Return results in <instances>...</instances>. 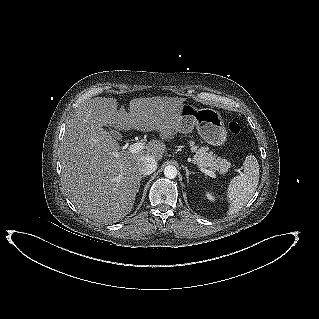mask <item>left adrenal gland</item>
Wrapping results in <instances>:
<instances>
[{"mask_svg": "<svg viewBox=\"0 0 319 319\" xmlns=\"http://www.w3.org/2000/svg\"><path fill=\"white\" fill-rule=\"evenodd\" d=\"M185 171H186V178H187V182L189 181V175L190 174H195L193 171H189L188 168L185 166L184 167Z\"/></svg>", "mask_w": 319, "mask_h": 319, "instance_id": "1", "label": "left adrenal gland"}]
</instances>
